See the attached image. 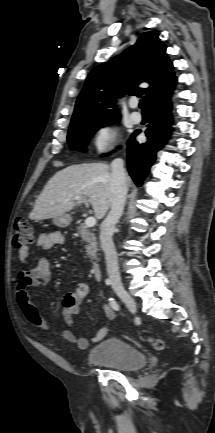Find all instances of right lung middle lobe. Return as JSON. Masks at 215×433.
Listing matches in <instances>:
<instances>
[{"mask_svg": "<svg viewBox=\"0 0 215 433\" xmlns=\"http://www.w3.org/2000/svg\"><path fill=\"white\" fill-rule=\"evenodd\" d=\"M119 121V117L101 119L84 123L71 124L67 141L72 150H85L86 142L101 127Z\"/></svg>", "mask_w": 215, "mask_h": 433, "instance_id": "1", "label": "right lung middle lobe"}]
</instances>
